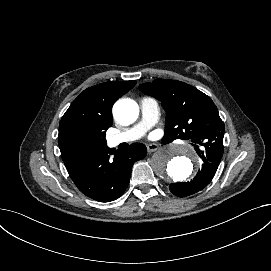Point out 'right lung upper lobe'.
<instances>
[{"instance_id": "1", "label": "right lung upper lobe", "mask_w": 271, "mask_h": 271, "mask_svg": "<svg viewBox=\"0 0 271 271\" xmlns=\"http://www.w3.org/2000/svg\"><path fill=\"white\" fill-rule=\"evenodd\" d=\"M136 83L134 80L101 83L87 88L72 102L59 124L58 144L66 167L85 156L71 144V133L79 128L107 130L113 124L114 102Z\"/></svg>"}]
</instances>
